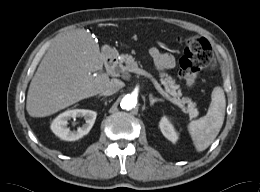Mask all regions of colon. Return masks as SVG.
Wrapping results in <instances>:
<instances>
[{
	"label": "colon",
	"mask_w": 260,
	"mask_h": 192,
	"mask_svg": "<svg viewBox=\"0 0 260 192\" xmlns=\"http://www.w3.org/2000/svg\"><path fill=\"white\" fill-rule=\"evenodd\" d=\"M184 42L185 49L179 59V75L192 86L196 82L198 72L212 62L213 52L205 38L192 36L184 39Z\"/></svg>",
	"instance_id": "obj_1"
}]
</instances>
